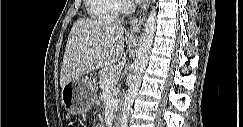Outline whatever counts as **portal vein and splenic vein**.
I'll return each mask as SVG.
<instances>
[{"label":"portal vein and splenic vein","instance_id":"1","mask_svg":"<svg viewBox=\"0 0 243 127\" xmlns=\"http://www.w3.org/2000/svg\"><path fill=\"white\" fill-rule=\"evenodd\" d=\"M115 74L114 73L110 74V76L101 83V87L102 88L109 87V85H111L114 81Z\"/></svg>","mask_w":243,"mask_h":127}]
</instances>
